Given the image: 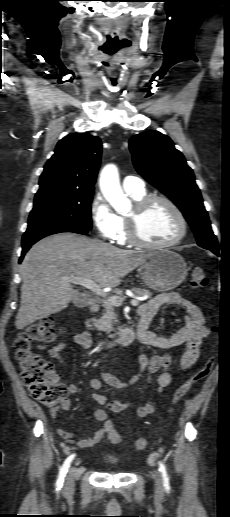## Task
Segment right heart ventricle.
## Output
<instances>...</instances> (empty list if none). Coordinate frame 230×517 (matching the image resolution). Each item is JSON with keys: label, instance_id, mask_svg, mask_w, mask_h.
Listing matches in <instances>:
<instances>
[{"label": "right heart ventricle", "instance_id": "obj_1", "mask_svg": "<svg viewBox=\"0 0 230 517\" xmlns=\"http://www.w3.org/2000/svg\"><path fill=\"white\" fill-rule=\"evenodd\" d=\"M130 196L132 197V199H134L135 201H138L140 199H142L143 197L146 196V192H142V193H138V194H130ZM120 221H121V229H120V232L118 233L117 237H116V241L119 243V244H127L129 241H128V238H127V224H126V218L124 217H120Z\"/></svg>", "mask_w": 230, "mask_h": 517}]
</instances>
